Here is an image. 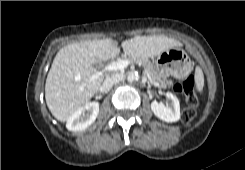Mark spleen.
<instances>
[{
    "label": "spleen",
    "instance_id": "3e777b00",
    "mask_svg": "<svg viewBox=\"0 0 245 170\" xmlns=\"http://www.w3.org/2000/svg\"><path fill=\"white\" fill-rule=\"evenodd\" d=\"M194 78L197 91L202 92L204 87V75L200 67H196Z\"/></svg>",
    "mask_w": 245,
    "mask_h": 170
}]
</instances>
